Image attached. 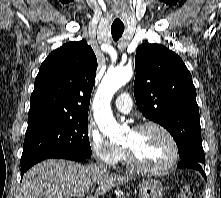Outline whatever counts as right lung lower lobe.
<instances>
[{
    "mask_svg": "<svg viewBox=\"0 0 221 198\" xmlns=\"http://www.w3.org/2000/svg\"><path fill=\"white\" fill-rule=\"evenodd\" d=\"M48 158H60V159H69L74 161H83L87 157L74 152L62 151V150L46 152L36 156L35 158L31 159L29 162L21 165V178L23 177V174L34 164Z\"/></svg>",
    "mask_w": 221,
    "mask_h": 198,
    "instance_id": "obj_1",
    "label": "right lung lower lobe"
}]
</instances>
